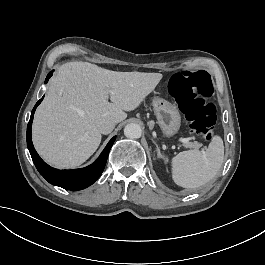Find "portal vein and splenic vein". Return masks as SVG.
I'll return each instance as SVG.
<instances>
[{"mask_svg": "<svg viewBox=\"0 0 265 265\" xmlns=\"http://www.w3.org/2000/svg\"><path fill=\"white\" fill-rule=\"evenodd\" d=\"M179 141L182 143H188L189 139L188 138H180Z\"/></svg>", "mask_w": 265, "mask_h": 265, "instance_id": "18ae733b", "label": "portal vein and splenic vein"}]
</instances>
